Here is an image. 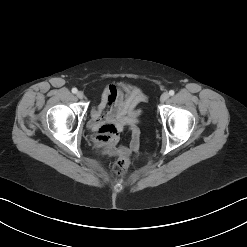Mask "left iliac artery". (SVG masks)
<instances>
[{
  "mask_svg": "<svg viewBox=\"0 0 247 247\" xmlns=\"http://www.w3.org/2000/svg\"><path fill=\"white\" fill-rule=\"evenodd\" d=\"M175 94L174 90L169 91V95L173 96Z\"/></svg>",
  "mask_w": 247,
  "mask_h": 247,
  "instance_id": "44dca946",
  "label": "left iliac artery"
}]
</instances>
